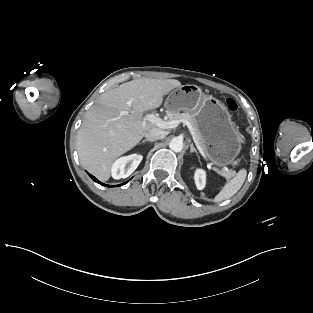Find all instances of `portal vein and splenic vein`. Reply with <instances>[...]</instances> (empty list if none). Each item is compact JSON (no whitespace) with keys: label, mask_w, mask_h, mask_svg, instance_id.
<instances>
[{"label":"portal vein and splenic vein","mask_w":313,"mask_h":313,"mask_svg":"<svg viewBox=\"0 0 313 313\" xmlns=\"http://www.w3.org/2000/svg\"><path fill=\"white\" fill-rule=\"evenodd\" d=\"M145 119L147 121L151 122L152 124L156 125L157 127L162 128V129H173V128H176L180 124V122H183L184 124H186L188 126L189 131L192 135L193 141H194L195 145L197 146L198 150L205 157L204 151L201 148L198 140L196 139L195 133L193 131V127L191 126V124L188 121H186V120L164 121L163 119L159 118L158 116H156L154 114H147L145 116ZM224 171H228L227 168H224ZM219 173H221V172H219Z\"/></svg>","instance_id":"18ae733b"}]
</instances>
